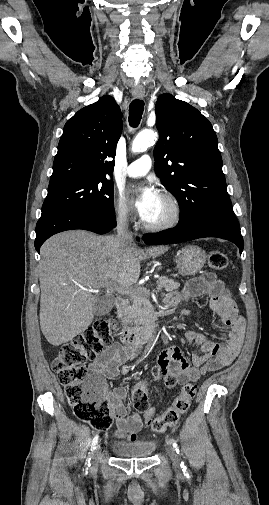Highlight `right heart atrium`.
<instances>
[{
	"label": "right heart atrium",
	"instance_id": "obj_1",
	"mask_svg": "<svg viewBox=\"0 0 269 505\" xmlns=\"http://www.w3.org/2000/svg\"><path fill=\"white\" fill-rule=\"evenodd\" d=\"M113 210L115 218L120 224L128 225L133 221V214L123 196L118 195L114 198Z\"/></svg>",
	"mask_w": 269,
	"mask_h": 505
}]
</instances>
